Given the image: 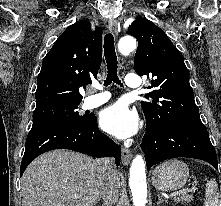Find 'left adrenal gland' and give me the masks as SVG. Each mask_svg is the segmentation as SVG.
I'll list each match as a JSON object with an SVG mask.
<instances>
[{
  "mask_svg": "<svg viewBox=\"0 0 221 206\" xmlns=\"http://www.w3.org/2000/svg\"><path fill=\"white\" fill-rule=\"evenodd\" d=\"M165 200L162 199V197L160 195H158V201H157V205L163 203Z\"/></svg>",
  "mask_w": 221,
  "mask_h": 206,
  "instance_id": "1",
  "label": "left adrenal gland"
}]
</instances>
